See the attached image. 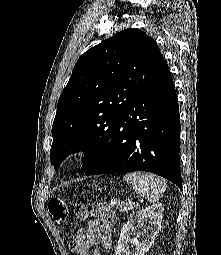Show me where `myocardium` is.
Here are the masks:
<instances>
[{
  "label": "myocardium",
  "instance_id": "myocardium-1",
  "mask_svg": "<svg viewBox=\"0 0 221 255\" xmlns=\"http://www.w3.org/2000/svg\"><path fill=\"white\" fill-rule=\"evenodd\" d=\"M73 154L75 155V154H77V152H74Z\"/></svg>",
  "mask_w": 221,
  "mask_h": 255
}]
</instances>
